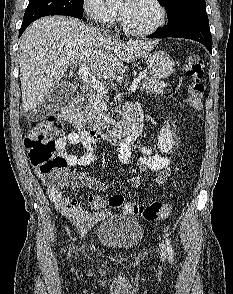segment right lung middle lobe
Wrapping results in <instances>:
<instances>
[{
    "label": "right lung middle lobe",
    "instance_id": "right-lung-middle-lobe-1",
    "mask_svg": "<svg viewBox=\"0 0 233 294\" xmlns=\"http://www.w3.org/2000/svg\"><path fill=\"white\" fill-rule=\"evenodd\" d=\"M84 0H29L23 23L30 24L36 19L49 15L83 16Z\"/></svg>",
    "mask_w": 233,
    "mask_h": 294
}]
</instances>
